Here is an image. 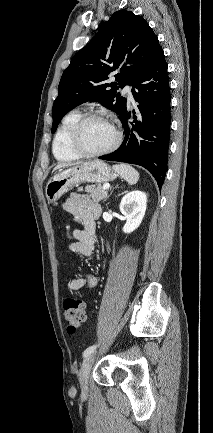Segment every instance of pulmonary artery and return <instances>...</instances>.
<instances>
[{"label": "pulmonary artery", "mask_w": 213, "mask_h": 433, "mask_svg": "<svg viewBox=\"0 0 213 433\" xmlns=\"http://www.w3.org/2000/svg\"><path fill=\"white\" fill-rule=\"evenodd\" d=\"M123 92L127 95L130 101H133L132 87L130 85H126Z\"/></svg>", "instance_id": "1"}]
</instances>
